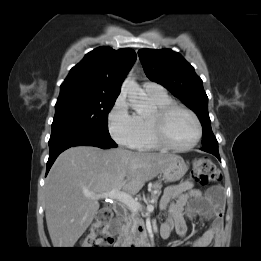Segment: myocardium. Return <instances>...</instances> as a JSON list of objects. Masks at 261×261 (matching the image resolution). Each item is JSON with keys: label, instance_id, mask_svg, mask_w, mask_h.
<instances>
[{"label": "myocardium", "instance_id": "f54148a6", "mask_svg": "<svg viewBox=\"0 0 261 261\" xmlns=\"http://www.w3.org/2000/svg\"><path fill=\"white\" fill-rule=\"evenodd\" d=\"M176 110H181L189 114L196 125V136L194 140L190 144L185 146H177L172 144L168 140L165 133L166 120L169 115ZM149 126L155 143L159 147L170 151L184 152L191 150L199 143L202 137V125L196 113L190 108L174 102H171L161 108L153 109L149 114Z\"/></svg>", "mask_w": 261, "mask_h": 261}]
</instances>
